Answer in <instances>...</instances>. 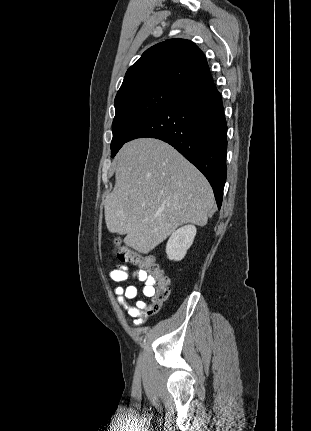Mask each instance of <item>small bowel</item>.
<instances>
[{"label":"small bowel","instance_id":"c3829d8e","mask_svg":"<svg viewBox=\"0 0 311 431\" xmlns=\"http://www.w3.org/2000/svg\"><path fill=\"white\" fill-rule=\"evenodd\" d=\"M130 277L144 283L142 293L146 297H151L153 289L151 286V278L148 273L140 269H131L124 265L117 266L110 272V278L113 282H125ZM118 304L123 307L129 316L133 318L135 326H140L145 322L147 317L148 305L143 300H135L138 295V289L135 285L117 286L114 289ZM135 300L133 304L129 301Z\"/></svg>","mask_w":311,"mask_h":431}]
</instances>
